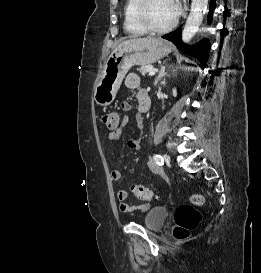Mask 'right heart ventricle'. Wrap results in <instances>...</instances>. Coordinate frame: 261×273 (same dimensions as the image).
I'll return each instance as SVG.
<instances>
[{
  "instance_id": "e07e8e85",
  "label": "right heart ventricle",
  "mask_w": 261,
  "mask_h": 273,
  "mask_svg": "<svg viewBox=\"0 0 261 273\" xmlns=\"http://www.w3.org/2000/svg\"><path fill=\"white\" fill-rule=\"evenodd\" d=\"M138 0H126L123 13L124 30L131 35H142L146 31L137 23L135 19V8Z\"/></svg>"
}]
</instances>
